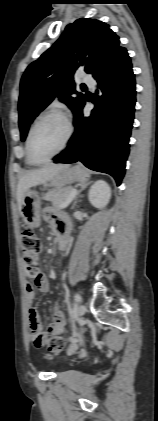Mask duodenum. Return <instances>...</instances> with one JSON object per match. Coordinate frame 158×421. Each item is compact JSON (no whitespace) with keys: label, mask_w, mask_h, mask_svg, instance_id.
Instances as JSON below:
<instances>
[{"label":"duodenum","mask_w":158,"mask_h":421,"mask_svg":"<svg viewBox=\"0 0 158 421\" xmlns=\"http://www.w3.org/2000/svg\"><path fill=\"white\" fill-rule=\"evenodd\" d=\"M67 242H68V238L67 237H62L60 239V242H59L60 249H64L66 247V245H67Z\"/></svg>","instance_id":"obj_1"}]
</instances>
